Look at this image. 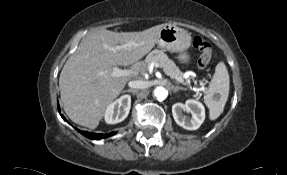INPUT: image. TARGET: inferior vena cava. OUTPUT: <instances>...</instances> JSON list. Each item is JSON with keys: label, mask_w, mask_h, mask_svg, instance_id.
<instances>
[{"label": "inferior vena cava", "mask_w": 287, "mask_h": 175, "mask_svg": "<svg viewBox=\"0 0 287 175\" xmlns=\"http://www.w3.org/2000/svg\"><path fill=\"white\" fill-rule=\"evenodd\" d=\"M129 87L134 89H145L148 88V82L142 80H133L128 83Z\"/></svg>", "instance_id": "602c4592"}]
</instances>
